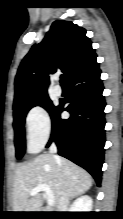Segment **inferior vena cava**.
<instances>
[{"label": "inferior vena cava", "mask_w": 123, "mask_h": 219, "mask_svg": "<svg viewBox=\"0 0 123 219\" xmlns=\"http://www.w3.org/2000/svg\"><path fill=\"white\" fill-rule=\"evenodd\" d=\"M50 154H56L57 153V147L55 143H52L50 148H49ZM69 206V197L68 194L63 190L59 204H58V211L59 212H67Z\"/></svg>", "instance_id": "obj_1"}]
</instances>
